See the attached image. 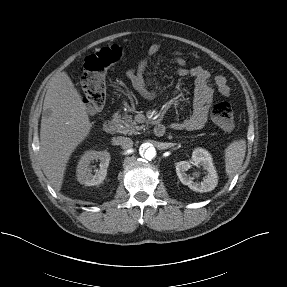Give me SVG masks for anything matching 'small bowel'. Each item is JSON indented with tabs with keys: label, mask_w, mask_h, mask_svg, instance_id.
Instances as JSON below:
<instances>
[{
	"label": "small bowel",
	"mask_w": 287,
	"mask_h": 287,
	"mask_svg": "<svg viewBox=\"0 0 287 287\" xmlns=\"http://www.w3.org/2000/svg\"><path fill=\"white\" fill-rule=\"evenodd\" d=\"M161 50L158 43L152 44L145 57L136 68L129 69L126 73L133 88L144 99L156 97V91L152 88V82L148 72V64L152 57ZM173 62L180 77H191L194 79L195 92L191 115L183 120L171 123V128L178 131H193L203 128L208 120L211 100L215 89L223 96L230 95V87L225 76L218 75L214 79V87L211 84L210 72L202 66H188L183 57L175 56Z\"/></svg>",
	"instance_id": "obj_1"
}]
</instances>
